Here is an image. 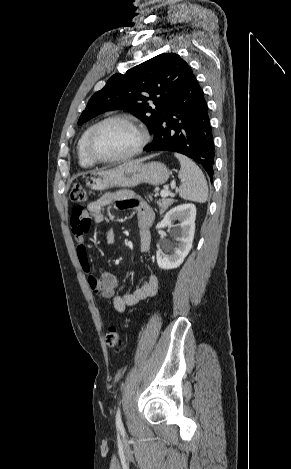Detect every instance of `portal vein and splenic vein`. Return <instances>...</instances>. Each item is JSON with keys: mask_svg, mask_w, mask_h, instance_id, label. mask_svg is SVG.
<instances>
[{"mask_svg": "<svg viewBox=\"0 0 291 469\" xmlns=\"http://www.w3.org/2000/svg\"><path fill=\"white\" fill-rule=\"evenodd\" d=\"M175 186H176V184L173 181L172 184H171V187L175 188ZM160 194H161L162 197H167V196L171 195L172 193L168 189H164L160 192Z\"/></svg>", "mask_w": 291, "mask_h": 469, "instance_id": "1", "label": "portal vein and splenic vein"}]
</instances>
